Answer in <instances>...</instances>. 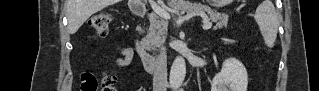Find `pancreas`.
<instances>
[{
	"instance_id": "cf45deb5",
	"label": "pancreas",
	"mask_w": 319,
	"mask_h": 91,
	"mask_svg": "<svg viewBox=\"0 0 319 91\" xmlns=\"http://www.w3.org/2000/svg\"><path fill=\"white\" fill-rule=\"evenodd\" d=\"M174 10L186 13H202L207 12L209 19L216 23L215 29L226 27L228 24V16L219 12L213 11L209 7L201 6L198 4L179 5L172 4ZM150 27L148 34L145 37L150 50H156V48L165 41L167 35V22L161 19L157 14H150Z\"/></svg>"
}]
</instances>
